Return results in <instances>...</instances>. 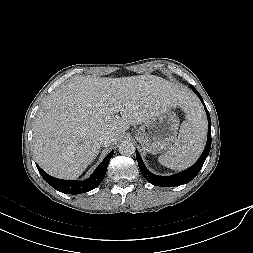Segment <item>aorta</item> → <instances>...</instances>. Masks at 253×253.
Segmentation results:
<instances>
[{
    "label": "aorta",
    "instance_id": "1",
    "mask_svg": "<svg viewBox=\"0 0 253 253\" xmlns=\"http://www.w3.org/2000/svg\"><path fill=\"white\" fill-rule=\"evenodd\" d=\"M135 152V146L131 141L124 140L119 145V153L122 155H132Z\"/></svg>",
    "mask_w": 253,
    "mask_h": 253
}]
</instances>
